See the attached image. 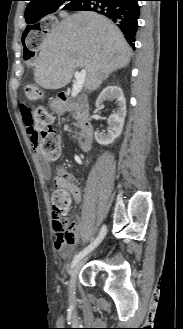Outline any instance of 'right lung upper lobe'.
Instances as JSON below:
<instances>
[{
    "label": "right lung upper lobe",
    "mask_w": 183,
    "mask_h": 329,
    "mask_svg": "<svg viewBox=\"0 0 183 329\" xmlns=\"http://www.w3.org/2000/svg\"><path fill=\"white\" fill-rule=\"evenodd\" d=\"M29 4L25 10L26 21L29 22L38 15L44 14V12L55 2L61 0H29ZM32 26V25H31ZM28 26L27 28H29Z\"/></svg>",
    "instance_id": "cb5924a9"
}]
</instances>
